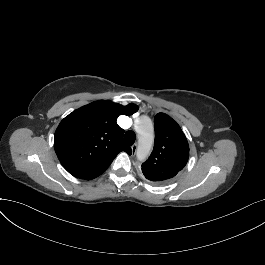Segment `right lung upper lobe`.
I'll use <instances>...</instances> for the list:
<instances>
[{
	"instance_id": "1",
	"label": "right lung upper lobe",
	"mask_w": 265,
	"mask_h": 265,
	"mask_svg": "<svg viewBox=\"0 0 265 265\" xmlns=\"http://www.w3.org/2000/svg\"><path fill=\"white\" fill-rule=\"evenodd\" d=\"M135 104L126 106L99 100L66 116L56 129L54 148L62 166L74 177L91 180L102 174L121 151L132 153L123 141L124 130L116 123L121 114L131 115Z\"/></svg>"
}]
</instances>
